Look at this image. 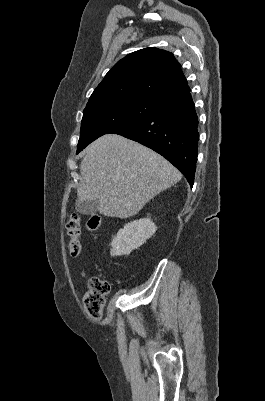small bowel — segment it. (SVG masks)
<instances>
[{
	"label": "small bowel",
	"instance_id": "1",
	"mask_svg": "<svg viewBox=\"0 0 265 401\" xmlns=\"http://www.w3.org/2000/svg\"><path fill=\"white\" fill-rule=\"evenodd\" d=\"M86 270H87L86 266H83V267H82V270H81V272H80V277H81V279H83V278L86 277Z\"/></svg>",
	"mask_w": 265,
	"mask_h": 401
}]
</instances>
